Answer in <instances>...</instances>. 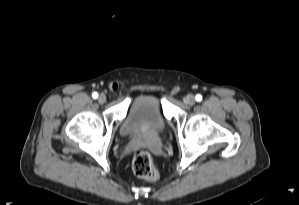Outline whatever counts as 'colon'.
Listing matches in <instances>:
<instances>
[{"mask_svg": "<svg viewBox=\"0 0 299 205\" xmlns=\"http://www.w3.org/2000/svg\"><path fill=\"white\" fill-rule=\"evenodd\" d=\"M132 170L138 178L149 182H154L159 177L150 154L143 150H137L133 153Z\"/></svg>", "mask_w": 299, "mask_h": 205, "instance_id": "obj_1", "label": "colon"}]
</instances>
